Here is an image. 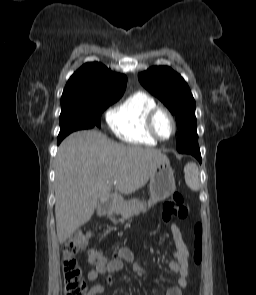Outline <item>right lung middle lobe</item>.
<instances>
[{
  "instance_id": "1",
  "label": "right lung middle lobe",
  "mask_w": 256,
  "mask_h": 295,
  "mask_svg": "<svg viewBox=\"0 0 256 295\" xmlns=\"http://www.w3.org/2000/svg\"><path fill=\"white\" fill-rule=\"evenodd\" d=\"M122 95L116 97L100 98L84 103L61 106L60 114V133L58 137H66L73 131L80 129H89L85 120H91L94 126L100 127V117L102 112L111 104L120 99Z\"/></svg>"
}]
</instances>
